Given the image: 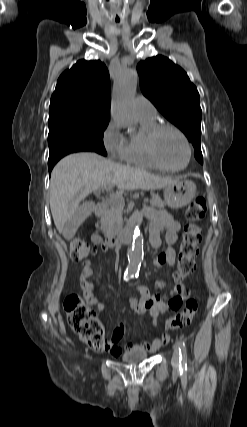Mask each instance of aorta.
I'll return each mask as SVG.
<instances>
[{"instance_id":"762f6f07","label":"aorta","mask_w":247,"mask_h":427,"mask_svg":"<svg viewBox=\"0 0 247 427\" xmlns=\"http://www.w3.org/2000/svg\"><path fill=\"white\" fill-rule=\"evenodd\" d=\"M138 76L134 69L129 67L121 68L115 78L112 93L111 115L113 120L132 131L135 129L136 118L133 108V101L136 94ZM143 259V235L136 227L134 229L132 247L128 251V274L136 273Z\"/></svg>"}]
</instances>
